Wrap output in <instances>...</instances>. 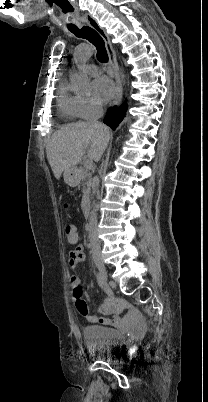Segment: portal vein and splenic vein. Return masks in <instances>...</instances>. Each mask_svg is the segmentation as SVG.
I'll use <instances>...</instances> for the list:
<instances>
[{
    "label": "portal vein and splenic vein",
    "instance_id": "obj_1",
    "mask_svg": "<svg viewBox=\"0 0 208 402\" xmlns=\"http://www.w3.org/2000/svg\"><path fill=\"white\" fill-rule=\"evenodd\" d=\"M83 164H84V168H86V170H91V168H93L92 160H84Z\"/></svg>",
    "mask_w": 208,
    "mask_h": 402
}]
</instances>
